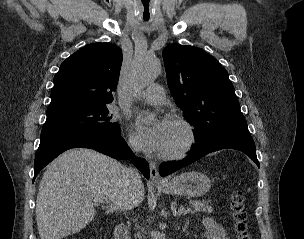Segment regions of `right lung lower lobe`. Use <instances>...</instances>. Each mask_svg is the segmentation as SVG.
Instances as JSON below:
<instances>
[{
  "mask_svg": "<svg viewBox=\"0 0 304 239\" xmlns=\"http://www.w3.org/2000/svg\"><path fill=\"white\" fill-rule=\"evenodd\" d=\"M91 148L112 158L129 159L134 155L125 140L100 133L67 131L41 134L40 145L34 162V179L48 163L62 152L71 148ZM136 167L148 179L149 166L145 159L138 158Z\"/></svg>",
  "mask_w": 304,
  "mask_h": 239,
  "instance_id": "1",
  "label": "right lung lower lobe"
}]
</instances>
